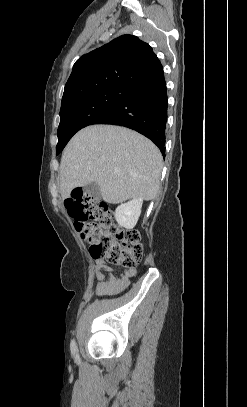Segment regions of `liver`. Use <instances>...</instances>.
Masks as SVG:
<instances>
[{"mask_svg": "<svg viewBox=\"0 0 247 407\" xmlns=\"http://www.w3.org/2000/svg\"><path fill=\"white\" fill-rule=\"evenodd\" d=\"M163 158L143 135L125 127L91 125L67 144L60 164V193L69 198L73 188L95 182L104 201H146L159 190Z\"/></svg>", "mask_w": 247, "mask_h": 407, "instance_id": "obj_1", "label": "liver"}]
</instances>
